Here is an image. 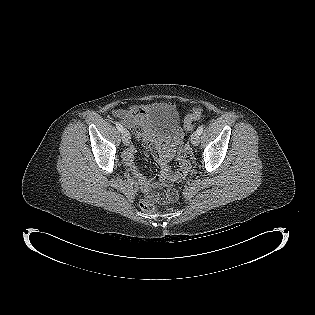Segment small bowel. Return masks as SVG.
I'll return each instance as SVG.
<instances>
[{
	"mask_svg": "<svg viewBox=\"0 0 315 315\" xmlns=\"http://www.w3.org/2000/svg\"><path fill=\"white\" fill-rule=\"evenodd\" d=\"M155 106H165L173 110L175 109L172 103H155L133 105L127 109H117L114 112V115L119 118L125 126L134 130L136 136L142 142L144 149L154 157L160 166L161 175L156 176L154 179H149L142 174L136 165L135 149L130 148L126 151L124 155L125 164L131 170L132 175L137 180L140 189L144 193H149L154 186L168 180L170 173L168 161L173 156L172 144L168 138L162 137L160 140L156 139L145 129L147 113Z\"/></svg>",
	"mask_w": 315,
	"mask_h": 315,
	"instance_id": "small-bowel-1",
	"label": "small bowel"
}]
</instances>
